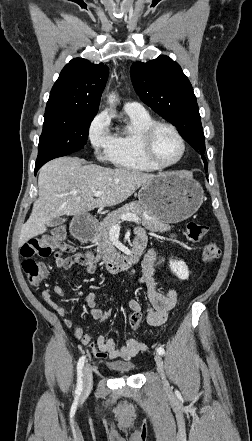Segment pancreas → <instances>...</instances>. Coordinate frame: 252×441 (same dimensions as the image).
Returning a JSON list of instances; mask_svg holds the SVG:
<instances>
[{"mask_svg": "<svg viewBox=\"0 0 252 441\" xmlns=\"http://www.w3.org/2000/svg\"><path fill=\"white\" fill-rule=\"evenodd\" d=\"M126 213L136 214L140 218L139 221L142 223V225L152 232L163 233L170 231L172 228V226L164 221L158 220L154 217H146V210L140 205L139 202L127 204L110 213L103 221L99 223L95 236L98 259H102L105 262H113L119 255L110 240V230L114 225L121 223V216Z\"/></svg>", "mask_w": 252, "mask_h": 441, "instance_id": "cf45deb5", "label": "pancreas"}]
</instances>
